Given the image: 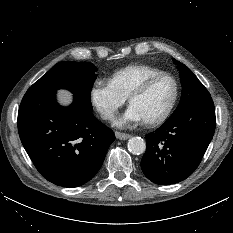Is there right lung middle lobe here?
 I'll use <instances>...</instances> for the list:
<instances>
[{"label": "right lung middle lobe", "mask_w": 233, "mask_h": 233, "mask_svg": "<svg viewBox=\"0 0 233 233\" xmlns=\"http://www.w3.org/2000/svg\"><path fill=\"white\" fill-rule=\"evenodd\" d=\"M96 71L97 68L89 62H59L35 82L29 90L56 91L65 88L70 90L88 110L92 111L90 94L97 77Z\"/></svg>", "instance_id": "right-lung-middle-lobe-1"}]
</instances>
